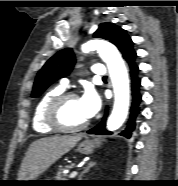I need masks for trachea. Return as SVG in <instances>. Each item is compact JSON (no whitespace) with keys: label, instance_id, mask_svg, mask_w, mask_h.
I'll return each instance as SVG.
<instances>
[{"label":"trachea","instance_id":"trachea-1","mask_svg":"<svg viewBox=\"0 0 178 186\" xmlns=\"http://www.w3.org/2000/svg\"><path fill=\"white\" fill-rule=\"evenodd\" d=\"M106 78H107V76H104V77H103V79H106Z\"/></svg>","mask_w":178,"mask_h":186}]
</instances>
